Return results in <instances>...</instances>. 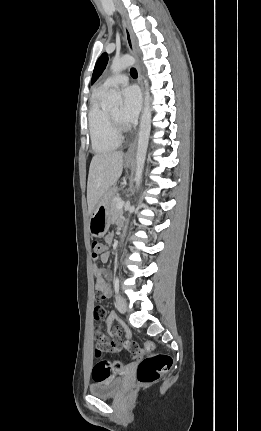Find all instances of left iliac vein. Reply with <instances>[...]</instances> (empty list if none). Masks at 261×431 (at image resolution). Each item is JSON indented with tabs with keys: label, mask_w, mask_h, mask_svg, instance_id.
<instances>
[{
	"label": "left iliac vein",
	"mask_w": 261,
	"mask_h": 431,
	"mask_svg": "<svg viewBox=\"0 0 261 431\" xmlns=\"http://www.w3.org/2000/svg\"><path fill=\"white\" fill-rule=\"evenodd\" d=\"M116 308L122 314L125 313L127 310L126 299L121 295H117L116 297Z\"/></svg>",
	"instance_id": "obj_1"
}]
</instances>
